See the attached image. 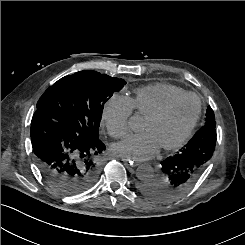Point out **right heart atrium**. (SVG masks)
I'll return each mask as SVG.
<instances>
[{
    "label": "right heart atrium",
    "instance_id": "1",
    "mask_svg": "<svg viewBox=\"0 0 245 245\" xmlns=\"http://www.w3.org/2000/svg\"><path fill=\"white\" fill-rule=\"evenodd\" d=\"M133 110L132 99L124 95L114 94L105 102L102 121L111 136L119 138L128 132Z\"/></svg>",
    "mask_w": 245,
    "mask_h": 245
}]
</instances>
